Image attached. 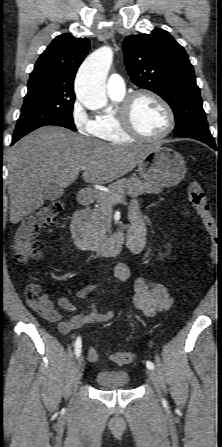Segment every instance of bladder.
<instances>
[{
    "label": "bladder",
    "mask_w": 222,
    "mask_h": 447,
    "mask_svg": "<svg viewBox=\"0 0 222 447\" xmlns=\"http://www.w3.org/2000/svg\"><path fill=\"white\" fill-rule=\"evenodd\" d=\"M130 381L127 371H99L95 375V382L102 390L126 389Z\"/></svg>",
    "instance_id": "bladder-1"
}]
</instances>
